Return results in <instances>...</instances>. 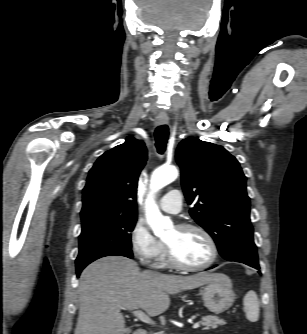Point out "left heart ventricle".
<instances>
[{
  "label": "left heart ventricle",
  "instance_id": "b2bd125f",
  "mask_svg": "<svg viewBox=\"0 0 307 334\" xmlns=\"http://www.w3.org/2000/svg\"><path fill=\"white\" fill-rule=\"evenodd\" d=\"M164 241L184 264L200 265L210 258L209 244L198 231L173 228L167 233Z\"/></svg>",
  "mask_w": 307,
  "mask_h": 334
}]
</instances>
